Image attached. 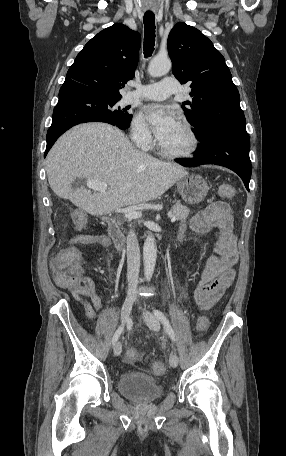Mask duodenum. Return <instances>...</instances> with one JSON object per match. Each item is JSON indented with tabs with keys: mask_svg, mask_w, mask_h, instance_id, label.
<instances>
[{
	"mask_svg": "<svg viewBox=\"0 0 286 456\" xmlns=\"http://www.w3.org/2000/svg\"><path fill=\"white\" fill-rule=\"evenodd\" d=\"M107 231L111 242L119 249H123L125 247V240L122 235L119 223L113 219L108 220ZM177 239L178 242H182L184 236L178 235Z\"/></svg>",
	"mask_w": 286,
	"mask_h": 456,
	"instance_id": "obj_1",
	"label": "duodenum"
}]
</instances>
